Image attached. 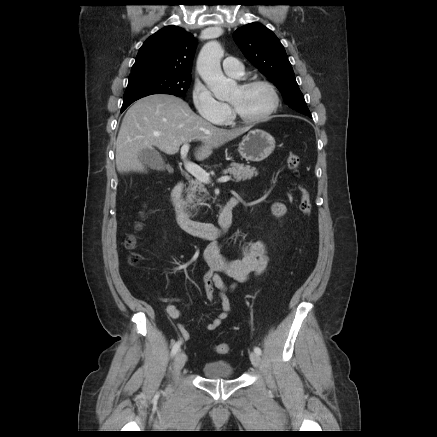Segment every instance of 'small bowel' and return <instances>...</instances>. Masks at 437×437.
<instances>
[{"label": "small bowel", "mask_w": 437, "mask_h": 437, "mask_svg": "<svg viewBox=\"0 0 437 437\" xmlns=\"http://www.w3.org/2000/svg\"><path fill=\"white\" fill-rule=\"evenodd\" d=\"M272 211L276 217L281 218L286 212V207L281 202H275ZM206 261L209 266V270L204 276L206 298L212 302L216 288L221 302V311L206 325V330L213 331L221 326L231 311L227 293L233 288V285L228 286L220 273L229 276L235 282H245L251 275H260L268 263L267 248L262 241H248L243 245L240 259L228 260L220 254L216 245H211L206 252ZM166 312L172 319H179L182 316L181 311L174 304V299H168ZM179 332L184 340L189 339L190 333L181 324Z\"/></svg>", "instance_id": "1"}]
</instances>
